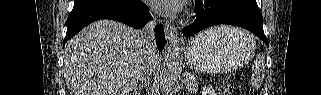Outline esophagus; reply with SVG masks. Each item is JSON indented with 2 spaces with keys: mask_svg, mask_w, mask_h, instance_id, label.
I'll return each mask as SVG.
<instances>
[{
  "mask_svg": "<svg viewBox=\"0 0 321 95\" xmlns=\"http://www.w3.org/2000/svg\"><path fill=\"white\" fill-rule=\"evenodd\" d=\"M164 31L168 42H172L177 37V28L171 24H165Z\"/></svg>",
  "mask_w": 321,
  "mask_h": 95,
  "instance_id": "34e87169",
  "label": "esophagus"
}]
</instances>
